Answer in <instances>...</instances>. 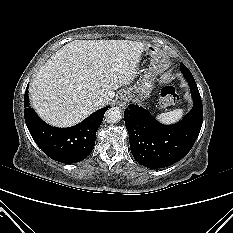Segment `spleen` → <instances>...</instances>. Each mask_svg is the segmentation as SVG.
<instances>
[{
    "label": "spleen",
    "mask_w": 233,
    "mask_h": 233,
    "mask_svg": "<svg viewBox=\"0 0 233 233\" xmlns=\"http://www.w3.org/2000/svg\"><path fill=\"white\" fill-rule=\"evenodd\" d=\"M182 116H183V110L175 109L173 111L161 113L157 115V120L163 124H173L179 121L182 118Z\"/></svg>",
    "instance_id": "3e777b00"
}]
</instances>
